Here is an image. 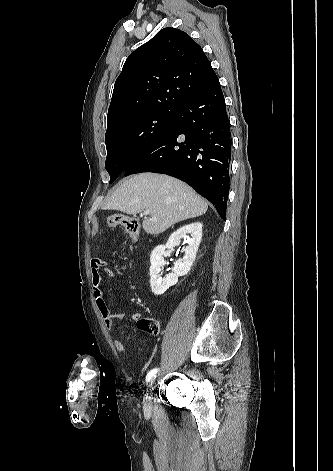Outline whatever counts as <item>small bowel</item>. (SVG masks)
<instances>
[{
    "label": "small bowel",
    "mask_w": 333,
    "mask_h": 471,
    "mask_svg": "<svg viewBox=\"0 0 333 471\" xmlns=\"http://www.w3.org/2000/svg\"><path fill=\"white\" fill-rule=\"evenodd\" d=\"M107 265H108V262L105 259L94 258L91 260L90 268H91V278H92V285H93L94 300L104 320L106 328L110 330L112 329L116 320H122L125 317V313L124 312H120V313L112 312L108 308L105 302L104 293L101 288V282H102L101 271H103L107 277L120 280L118 275L115 272L107 268ZM139 317H140L139 314H134L131 316V319L137 320L139 319ZM114 345H115V348L119 352H122V353L126 352V346L120 339H116L114 341Z\"/></svg>",
    "instance_id": "obj_1"
}]
</instances>
